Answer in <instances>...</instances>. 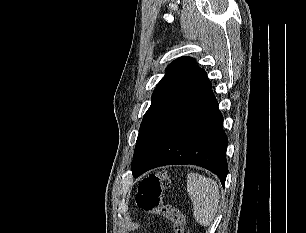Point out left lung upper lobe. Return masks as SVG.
I'll list each match as a JSON object with an SVG mask.
<instances>
[{
	"instance_id": "obj_1",
	"label": "left lung upper lobe",
	"mask_w": 306,
	"mask_h": 233,
	"mask_svg": "<svg viewBox=\"0 0 306 233\" xmlns=\"http://www.w3.org/2000/svg\"><path fill=\"white\" fill-rule=\"evenodd\" d=\"M211 89L205 71L191 57H181L166 69L143 117L132 161L138 171L163 136Z\"/></svg>"
}]
</instances>
